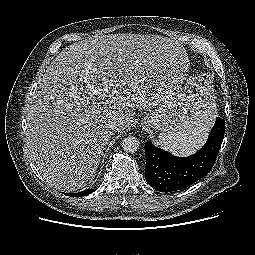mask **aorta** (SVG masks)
Masks as SVG:
<instances>
[{"label": "aorta", "mask_w": 255, "mask_h": 255, "mask_svg": "<svg viewBox=\"0 0 255 255\" xmlns=\"http://www.w3.org/2000/svg\"><path fill=\"white\" fill-rule=\"evenodd\" d=\"M122 148L128 153H135L139 149V141L136 137L128 136L123 139Z\"/></svg>", "instance_id": "aorta-1"}]
</instances>
